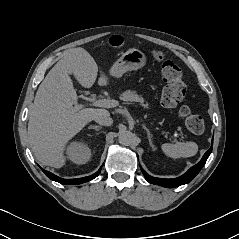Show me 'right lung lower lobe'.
Wrapping results in <instances>:
<instances>
[{
    "instance_id": "98d812e1",
    "label": "right lung lower lobe",
    "mask_w": 239,
    "mask_h": 239,
    "mask_svg": "<svg viewBox=\"0 0 239 239\" xmlns=\"http://www.w3.org/2000/svg\"><path fill=\"white\" fill-rule=\"evenodd\" d=\"M42 171L45 173V175L47 177H49L50 179H52L56 182H59L61 184H81V183H85V182H88V181L96 178L99 175V173L101 171V168L91 176H87V177H83V178H77V179H63V178H60V177H58V176H56V175H54L51 172H48L46 170L42 169Z\"/></svg>"
}]
</instances>
